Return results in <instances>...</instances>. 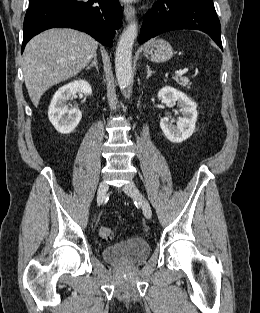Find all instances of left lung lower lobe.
<instances>
[{
    "instance_id": "left-lung-lower-lobe-1",
    "label": "left lung lower lobe",
    "mask_w": 260,
    "mask_h": 313,
    "mask_svg": "<svg viewBox=\"0 0 260 313\" xmlns=\"http://www.w3.org/2000/svg\"><path fill=\"white\" fill-rule=\"evenodd\" d=\"M197 29L222 49L221 26L211 0H159L145 15L139 43L163 32Z\"/></svg>"
}]
</instances>
